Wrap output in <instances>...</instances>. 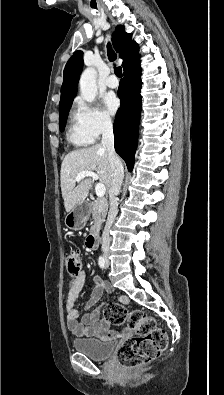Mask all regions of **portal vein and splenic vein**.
<instances>
[{"label":"portal vein and splenic vein","mask_w":224,"mask_h":395,"mask_svg":"<svg viewBox=\"0 0 224 395\" xmlns=\"http://www.w3.org/2000/svg\"><path fill=\"white\" fill-rule=\"evenodd\" d=\"M85 177H91L93 180H98V175L91 171H83L77 175L75 180L80 182ZM96 195L98 198H103L106 192V187L102 183H98L95 186Z\"/></svg>","instance_id":"1"}]
</instances>
